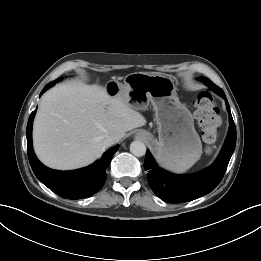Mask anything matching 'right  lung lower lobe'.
Segmentation results:
<instances>
[{"instance_id": "obj_1", "label": "right lung lower lobe", "mask_w": 261, "mask_h": 261, "mask_svg": "<svg viewBox=\"0 0 261 261\" xmlns=\"http://www.w3.org/2000/svg\"><path fill=\"white\" fill-rule=\"evenodd\" d=\"M47 84L40 96L56 82ZM36 110H34L27 124V152L30 165L36 177L57 195L67 199H81L97 193L106 181V169L114 153L118 150L116 145L106 151L102 157L88 167L74 171H58L47 168L35 156L32 146V124Z\"/></svg>"}]
</instances>
